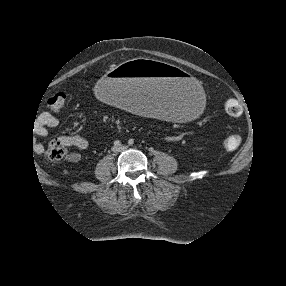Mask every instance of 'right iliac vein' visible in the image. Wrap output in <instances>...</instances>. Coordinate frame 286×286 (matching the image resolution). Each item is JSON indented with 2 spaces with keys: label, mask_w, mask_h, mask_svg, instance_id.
Listing matches in <instances>:
<instances>
[{
  "label": "right iliac vein",
  "mask_w": 286,
  "mask_h": 286,
  "mask_svg": "<svg viewBox=\"0 0 286 286\" xmlns=\"http://www.w3.org/2000/svg\"><path fill=\"white\" fill-rule=\"evenodd\" d=\"M112 150H113V152H115V153L119 152V148H118V147H113Z\"/></svg>",
  "instance_id": "obj_1"
}]
</instances>
